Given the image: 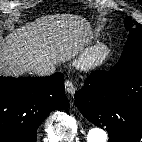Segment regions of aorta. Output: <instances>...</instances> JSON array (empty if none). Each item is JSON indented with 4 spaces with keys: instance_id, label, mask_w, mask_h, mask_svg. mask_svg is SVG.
Returning a JSON list of instances; mask_svg holds the SVG:
<instances>
[{
    "instance_id": "1",
    "label": "aorta",
    "mask_w": 142,
    "mask_h": 142,
    "mask_svg": "<svg viewBox=\"0 0 142 142\" xmlns=\"http://www.w3.org/2000/svg\"><path fill=\"white\" fill-rule=\"evenodd\" d=\"M107 133L101 128H91L87 133V142H106Z\"/></svg>"
}]
</instances>
